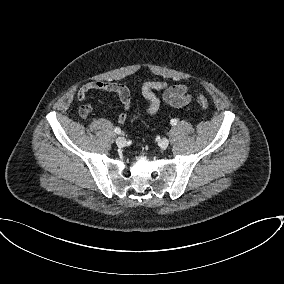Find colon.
<instances>
[{"instance_id": "colon-1", "label": "colon", "mask_w": 284, "mask_h": 284, "mask_svg": "<svg viewBox=\"0 0 284 284\" xmlns=\"http://www.w3.org/2000/svg\"><path fill=\"white\" fill-rule=\"evenodd\" d=\"M197 101L203 109H207L209 107L208 100L202 94L197 95Z\"/></svg>"}]
</instances>
